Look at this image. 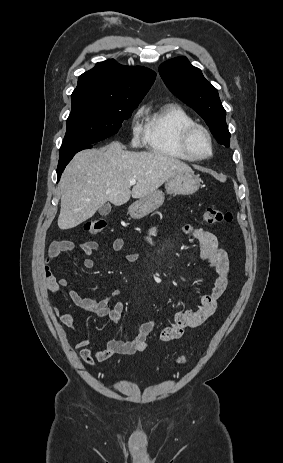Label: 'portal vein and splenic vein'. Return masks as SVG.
<instances>
[{
  "instance_id": "portal-vein-and-splenic-vein-1",
  "label": "portal vein and splenic vein",
  "mask_w": 283,
  "mask_h": 463,
  "mask_svg": "<svg viewBox=\"0 0 283 463\" xmlns=\"http://www.w3.org/2000/svg\"><path fill=\"white\" fill-rule=\"evenodd\" d=\"M129 183H130V185H135V184H136V180H135V179H130V180H129Z\"/></svg>"
}]
</instances>
